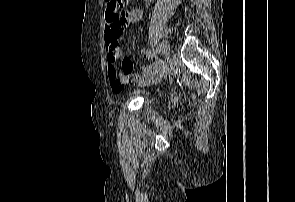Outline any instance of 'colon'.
Instances as JSON below:
<instances>
[{
    "instance_id": "5ec220e1",
    "label": "colon",
    "mask_w": 295,
    "mask_h": 202,
    "mask_svg": "<svg viewBox=\"0 0 295 202\" xmlns=\"http://www.w3.org/2000/svg\"><path fill=\"white\" fill-rule=\"evenodd\" d=\"M127 3L128 0H106L107 14L113 19H125L126 11H124V7Z\"/></svg>"
}]
</instances>
